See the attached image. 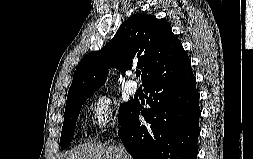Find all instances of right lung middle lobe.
Returning a JSON list of instances; mask_svg holds the SVG:
<instances>
[{"mask_svg":"<svg viewBox=\"0 0 253 159\" xmlns=\"http://www.w3.org/2000/svg\"><path fill=\"white\" fill-rule=\"evenodd\" d=\"M90 96L91 95L73 99L66 104L64 123L60 138V144L62 149H64L73 139L76 121L79 116L81 106ZM132 103V101H129L128 103L120 104L118 117L120 124L123 122L124 117L128 112L129 108L131 107Z\"/></svg>","mask_w":253,"mask_h":159,"instance_id":"dd1d6c3e","label":"right lung middle lobe"}]
</instances>
